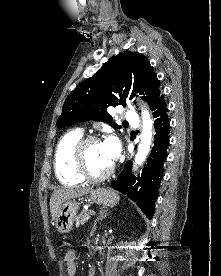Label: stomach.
Wrapping results in <instances>:
<instances>
[{"label": "stomach", "instance_id": "obj_1", "mask_svg": "<svg viewBox=\"0 0 221 276\" xmlns=\"http://www.w3.org/2000/svg\"><path fill=\"white\" fill-rule=\"evenodd\" d=\"M91 201L103 205L113 206L119 201V196L111 189L98 188L89 193ZM79 203L75 199L65 201L55 218V225L61 234L69 233L72 230Z\"/></svg>", "mask_w": 221, "mask_h": 276}]
</instances>
